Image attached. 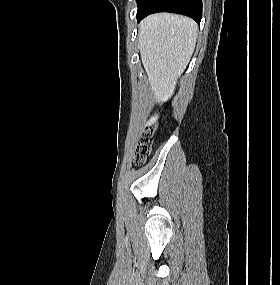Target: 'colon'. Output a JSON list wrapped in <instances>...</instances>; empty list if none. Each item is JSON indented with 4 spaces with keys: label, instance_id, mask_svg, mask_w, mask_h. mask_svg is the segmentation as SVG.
Returning <instances> with one entry per match:
<instances>
[{
    "label": "colon",
    "instance_id": "1",
    "mask_svg": "<svg viewBox=\"0 0 280 285\" xmlns=\"http://www.w3.org/2000/svg\"><path fill=\"white\" fill-rule=\"evenodd\" d=\"M153 128H147L137 146L134 161L137 165H141L145 162L147 156L151 151V146L153 142Z\"/></svg>",
    "mask_w": 280,
    "mask_h": 285
}]
</instances>
